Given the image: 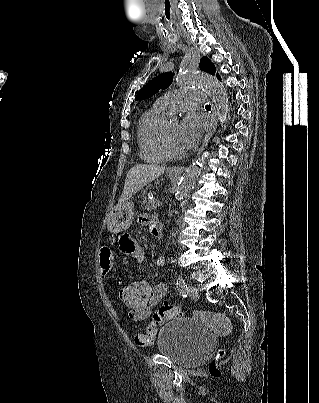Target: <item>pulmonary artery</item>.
I'll list each match as a JSON object with an SVG mask.
<instances>
[{
    "label": "pulmonary artery",
    "instance_id": "obj_1",
    "mask_svg": "<svg viewBox=\"0 0 319 403\" xmlns=\"http://www.w3.org/2000/svg\"><path fill=\"white\" fill-rule=\"evenodd\" d=\"M203 103V92L195 89L176 90L161 96L155 102L159 108L169 113L203 105Z\"/></svg>",
    "mask_w": 319,
    "mask_h": 403
}]
</instances>
